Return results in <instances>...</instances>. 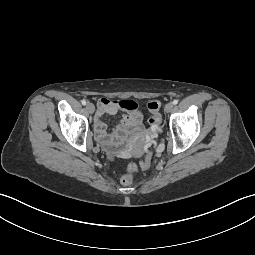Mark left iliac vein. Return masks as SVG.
Here are the masks:
<instances>
[{
  "label": "left iliac vein",
  "mask_w": 255,
  "mask_h": 255,
  "mask_svg": "<svg viewBox=\"0 0 255 255\" xmlns=\"http://www.w3.org/2000/svg\"><path fill=\"white\" fill-rule=\"evenodd\" d=\"M172 109H173V103L169 102L165 105V108H164L165 112L169 113L171 112Z\"/></svg>",
  "instance_id": "4c4485c4"
}]
</instances>
